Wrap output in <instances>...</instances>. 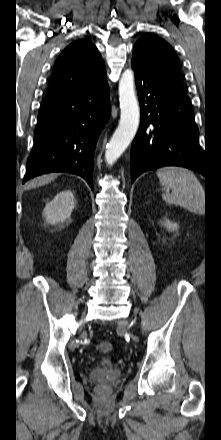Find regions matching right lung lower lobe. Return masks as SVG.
<instances>
[{
    "mask_svg": "<svg viewBox=\"0 0 221 440\" xmlns=\"http://www.w3.org/2000/svg\"><path fill=\"white\" fill-rule=\"evenodd\" d=\"M110 117L109 87L46 96L38 114L35 144L23 183L50 172L83 177L93 189V159Z\"/></svg>",
    "mask_w": 221,
    "mask_h": 440,
    "instance_id": "obj_1",
    "label": "right lung lower lobe"
}]
</instances>
